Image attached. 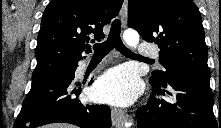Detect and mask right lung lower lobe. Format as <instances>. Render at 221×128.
<instances>
[{"instance_id": "obj_1", "label": "right lung lower lobe", "mask_w": 221, "mask_h": 128, "mask_svg": "<svg viewBox=\"0 0 221 128\" xmlns=\"http://www.w3.org/2000/svg\"><path fill=\"white\" fill-rule=\"evenodd\" d=\"M56 71L34 79L26 96L14 128H34L64 122L81 128H111V111L107 105H83L78 96L79 83H74V73Z\"/></svg>"}]
</instances>
